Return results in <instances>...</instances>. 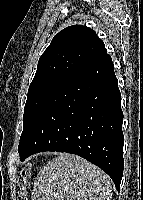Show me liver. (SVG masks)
<instances>
[{"label": "liver", "mask_w": 143, "mask_h": 200, "mask_svg": "<svg viewBox=\"0 0 143 200\" xmlns=\"http://www.w3.org/2000/svg\"><path fill=\"white\" fill-rule=\"evenodd\" d=\"M110 177L87 160L61 153L50 160L34 182L31 200H111Z\"/></svg>", "instance_id": "6515ba94"}]
</instances>
